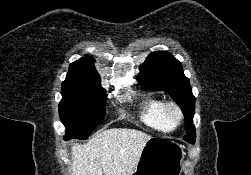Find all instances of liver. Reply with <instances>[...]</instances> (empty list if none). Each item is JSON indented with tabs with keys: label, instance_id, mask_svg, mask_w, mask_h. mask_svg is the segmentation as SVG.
<instances>
[{
	"label": "liver",
	"instance_id": "liver-1",
	"mask_svg": "<svg viewBox=\"0 0 251 175\" xmlns=\"http://www.w3.org/2000/svg\"><path fill=\"white\" fill-rule=\"evenodd\" d=\"M150 137L139 129L112 127L87 143H73L71 175H131Z\"/></svg>",
	"mask_w": 251,
	"mask_h": 175
}]
</instances>
